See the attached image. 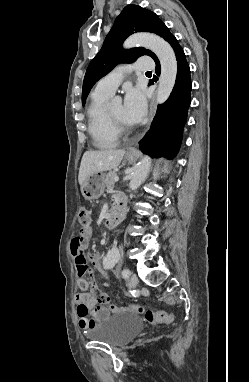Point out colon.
<instances>
[{
    "label": "colon",
    "mask_w": 249,
    "mask_h": 382,
    "mask_svg": "<svg viewBox=\"0 0 249 382\" xmlns=\"http://www.w3.org/2000/svg\"><path fill=\"white\" fill-rule=\"evenodd\" d=\"M92 220L91 211L85 207H82L78 211V221L82 227V229L89 228ZM78 241V240H77ZM84 251L82 258H75V263L77 266V271L79 275L76 276L77 282H83L85 280V275L89 271L88 261L85 260L87 251L85 248H77ZM96 278V273L93 270H90L88 273L87 280L89 282H93ZM92 293L97 301L98 304L103 305L107 308H109L112 312H119L123 310H130L133 312H136L143 316L146 322L150 324H156V323H171L174 320V317L172 314L167 312H154L152 310L146 309L143 306L140 305H132V304H115L111 297L107 295L106 293L101 292L96 285L92 286Z\"/></svg>",
    "instance_id": "colon-1"
}]
</instances>
